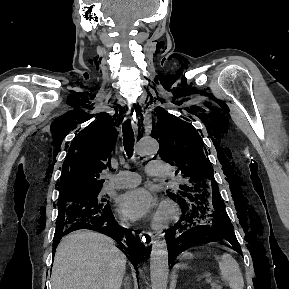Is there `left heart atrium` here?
<instances>
[{
  "label": "left heart atrium",
  "instance_id": "obj_1",
  "mask_svg": "<svg viewBox=\"0 0 289 289\" xmlns=\"http://www.w3.org/2000/svg\"><path fill=\"white\" fill-rule=\"evenodd\" d=\"M117 206L127 218L137 220L152 212L155 206V195L151 189H132L119 195Z\"/></svg>",
  "mask_w": 289,
  "mask_h": 289
}]
</instances>
